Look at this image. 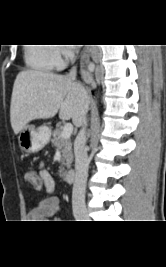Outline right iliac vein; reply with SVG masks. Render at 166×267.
I'll return each instance as SVG.
<instances>
[{
  "instance_id": "right-iliac-vein-1",
  "label": "right iliac vein",
  "mask_w": 166,
  "mask_h": 267,
  "mask_svg": "<svg viewBox=\"0 0 166 267\" xmlns=\"http://www.w3.org/2000/svg\"><path fill=\"white\" fill-rule=\"evenodd\" d=\"M74 215H75V218H76L77 220H85V221H86V220L89 219V217H88L86 211H84V210L76 211V212L74 213Z\"/></svg>"
}]
</instances>
